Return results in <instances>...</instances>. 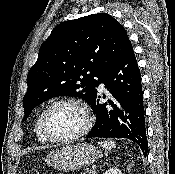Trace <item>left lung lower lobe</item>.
Returning <instances> with one entry per match:
<instances>
[{
	"instance_id": "obj_1",
	"label": "left lung lower lobe",
	"mask_w": 175,
	"mask_h": 174,
	"mask_svg": "<svg viewBox=\"0 0 175 174\" xmlns=\"http://www.w3.org/2000/svg\"><path fill=\"white\" fill-rule=\"evenodd\" d=\"M100 83L108 89L112 100L100 104L96 93L89 103L96 114V123L87 138H127L137 143L146 157L148 142L141 75L131 43Z\"/></svg>"
}]
</instances>
